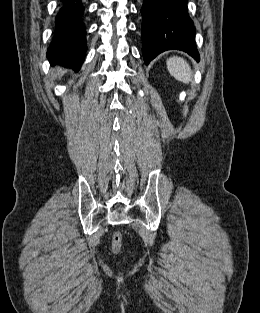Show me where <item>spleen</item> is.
I'll list each match as a JSON object with an SVG mask.
<instances>
[{"mask_svg": "<svg viewBox=\"0 0 260 313\" xmlns=\"http://www.w3.org/2000/svg\"><path fill=\"white\" fill-rule=\"evenodd\" d=\"M169 73L178 81L188 84L192 78L189 64L181 57L173 56L167 60Z\"/></svg>", "mask_w": 260, "mask_h": 313, "instance_id": "spleen-1", "label": "spleen"}]
</instances>
